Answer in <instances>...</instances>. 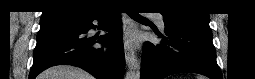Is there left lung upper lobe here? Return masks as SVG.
<instances>
[{"instance_id": "1", "label": "left lung upper lobe", "mask_w": 255, "mask_h": 79, "mask_svg": "<svg viewBox=\"0 0 255 79\" xmlns=\"http://www.w3.org/2000/svg\"><path fill=\"white\" fill-rule=\"evenodd\" d=\"M161 14L166 26L174 25H205L209 26V15L201 12L183 11L181 3L175 0H162L159 2Z\"/></svg>"}]
</instances>
